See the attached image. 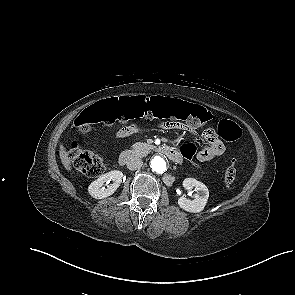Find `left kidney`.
I'll list each match as a JSON object with an SVG mask.
<instances>
[{"label":"left kidney","mask_w":295,"mask_h":295,"mask_svg":"<svg viewBox=\"0 0 295 295\" xmlns=\"http://www.w3.org/2000/svg\"><path fill=\"white\" fill-rule=\"evenodd\" d=\"M183 186L187 189L195 188L196 193L192 200L186 198V196H181L178 199V205L180 208L191 213L201 212L209 198V190L207 186L194 178L184 179Z\"/></svg>","instance_id":"obj_1"}]
</instances>
